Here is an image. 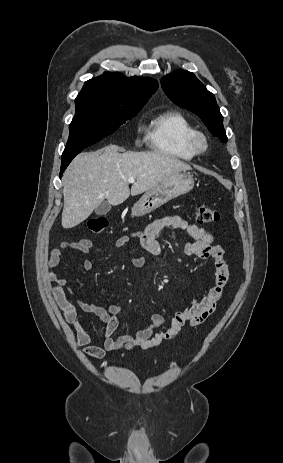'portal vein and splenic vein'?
Here are the masks:
<instances>
[{
	"label": "portal vein and splenic vein",
	"mask_w": 283,
	"mask_h": 463,
	"mask_svg": "<svg viewBox=\"0 0 283 463\" xmlns=\"http://www.w3.org/2000/svg\"><path fill=\"white\" fill-rule=\"evenodd\" d=\"M128 182H129V183H134V182H135V178H132V177L129 178V179H128Z\"/></svg>",
	"instance_id": "portal-vein-and-splenic-vein-1"
}]
</instances>
